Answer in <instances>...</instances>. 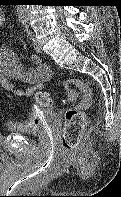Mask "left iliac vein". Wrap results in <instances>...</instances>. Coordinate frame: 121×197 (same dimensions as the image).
I'll return each instance as SVG.
<instances>
[{
    "label": "left iliac vein",
    "instance_id": "1",
    "mask_svg": "<svg viewBox=\"0 0 121 197\" xmlns=\"http://www.w3.org/2000/svg\"><path fill=\"white\" fill-rule=\"evenodd\" d=\"M31 39H32V45H33L34 49L37 52H42V48H41L40 44L38 43V41H37V39L35 37L34 32H31Z\"/></svg>",
    "mask_w": 121,
    "mask_h": 197
}]
</instances>
